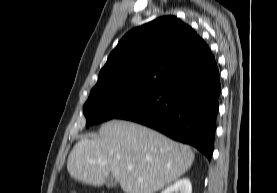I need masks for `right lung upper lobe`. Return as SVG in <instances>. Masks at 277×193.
<instances>
[{
	"mask_svg": "<svg viewBox=\"0 0 277 193\" xmlns=\"http://www.w3.org/2000/svg\"><path fill=\"white\" fill-rule=\"evenodd\" d=\"M212 57L204 40L175 16H163L132 29L118 43L91 90L125 86L158 89Z\"/></svg>",
	"mask_w": 277,
	"mask_h": 193,
	"instance_id": "right-lung-upper-lobe-1",
	"label": "right lung upper lobe"
}]
</instances>
